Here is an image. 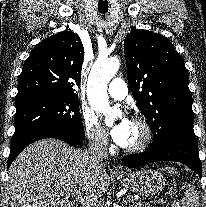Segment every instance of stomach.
Here are the masks:
<instances>
[{
    "instance_id": "1",
    "label": "stomach",
    "mask_w": 206,
    "mask_h": 207,
    "mask_svg": "<svg viewBox=\"0 0 206 207\" xmlns=\"http://www.w3.org/2000/svg\"><path fill=\"white\" fill-rule=\"evenodd\" d=\"M118 181L131 191L150 197L157 194L165 184L164 176L157 170H138L125 177H118Z\"/></svg>"
}]
</instances>
